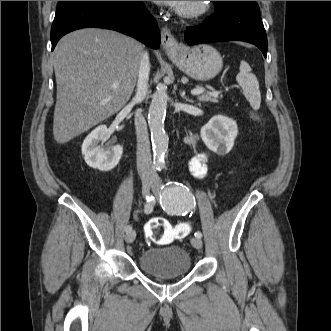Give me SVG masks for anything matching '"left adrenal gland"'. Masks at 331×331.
Returning a JSON list of instances; mask_svg holds the SVG:
<instances>
[{
    "mask_svg": "<svg viewBox=\"0 0 331 331\" xmlns=\"http://www.w3.org/2000/svg\"><path fill=\"white\" fill-rule=\"evenodd\" d=\"M180 94H181V97H182V98L186 99V101H188V102H193L192 100L188 99V98L185 96V92H184V91H183V92H180Z\"/></svg>",
    "mask_w": 331,
    "mask_h": 331,
    "instance_id": "left-adrenal-gland-1",
    "label": "left adrenal gland"
}]
</instances>
